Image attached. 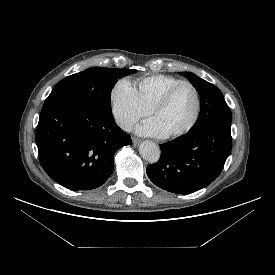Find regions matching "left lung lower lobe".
I'll return each mask as SVG.
<instances>
[{
    "instance_id": "1",
    "label": "left lung lower lobe",
    "mask_w": 275,
    "mask_h": 275,
    "mask_svg": "<svg viewBox=\"0 0 275 275\" xmlns=\"http://www.w3.org/2000/svg\"><path fill=\"white\" fill-rule=\"evenodd\" d=\"M161 157L146 169L150 180L163 190L187 194L204 188L221 173L232 148L230 125L189 131L161 144Z\"/></svg>"
}]
</instances>
